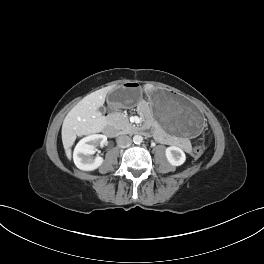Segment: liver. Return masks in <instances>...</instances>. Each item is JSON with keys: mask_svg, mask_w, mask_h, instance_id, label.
Instances as JSON below:
<instances>
[{"mask_svg": "<svg viewBox=\"0 0 264 264\" xmlns=\"http://www.w3.org/2000/svg\"><path fill=\"white\" fill-rule=\"evenodd\" d=\"M152 86H146L151 90ZM111 88L97 90L84 97L66 115L62 125V142L68 159L71 158V147L77 136L99 133L107 125V119L99 111L103 106L107 93Z\"/></svg>", "mask_w": 264, "mask_h": 264, "instance_id": "obj_1", "label": "liver"}]
</instances>
